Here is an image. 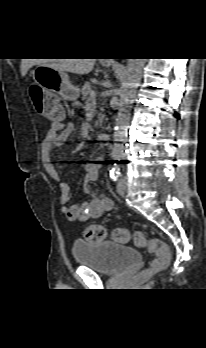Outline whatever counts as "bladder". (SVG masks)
Listing matches in <instances>:
<instances>
[{
	"instance_id": "bladder-1",
	"label": "bladder",
	"mask_w": 206,
	"mask_h": 348,
	"mask_svg": "<svg viewBox=\"0 0 206 348\" xmlns=\"http://www.w3.org/2000/svg\"><path fill=\"white\" fill-rule=\"evenodd\" d=\"M73 255L78 265L106 275H116L141 260L140 252L113 241H76Z\"/></svg>"
}]
</instances>
